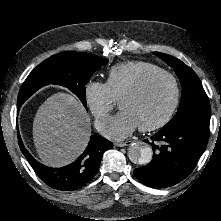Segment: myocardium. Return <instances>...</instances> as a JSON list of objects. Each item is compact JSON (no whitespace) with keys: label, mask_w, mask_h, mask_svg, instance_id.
<instances>
[{"label":"myocardium","mask_w":221,"mask_h":221,"mask_svg":"<svg viewBox=\"0 0 221 221\" xmlns=\"http://www.w3.org/2000/svg\"><path fill=\"white\" fill-rule=\"evenodd\" d=\"M160 77L167 78L172 84V87H173L172 102H171L169 109L165 113V115L162 118H160L158 121H156L152 124L139 126V129L143 132H149V131H154V130L160 129L163 126H165L173 117V115L178 107L179 100H180V86H179V83H178L176 77L173 74H171L167 71H164V70L156 71V72H153V73H150V74L144 76L141 80H139L136 84H134L130 88L126 89L119 96V100H120L124 96L138 95L141 92H143L145 90V88L152 81H154L155 79L160 78Z\"/></svg>","instance_id":"myocardium-1"}]
</instances>
